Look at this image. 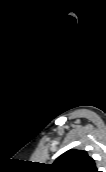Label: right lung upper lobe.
Wrapping results in <instances>:
<instances>
[{
  "instance_id": "1",
  "label": "right lung upper lobe",
  "mask_w": 106,
  "mask_h": 172,
  "mask_svg": "<svg viewBox=\"0 0 106 172\" xmlns=\"http://www.w3.org/2000/svg\"><path fill=\"white\" fill-rule=\"evenodd\" d=\"M51 172H98L95 161L86 151L71 149L50 165Z\"/></svg>"
}]
</instances>
